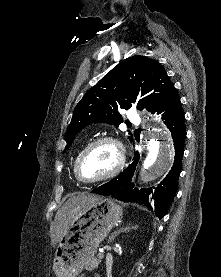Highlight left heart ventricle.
<instances>
[{"label":"left heart ventricle","instance_id":"b2bd125f","mask_svg":"<svg viewBox=\"0 0 221 277\" xmlns=\"http://www.w3.org/2000/svg\"><path fill=\"white\" fill-rule=\"evenodd\" d=\"M117 162V152L109 143L97 145L82 159L80 174L85 179H95L111 171Z\"/></svg>","mask_w":221,"mask_h":277}]
</instances>
